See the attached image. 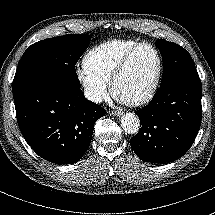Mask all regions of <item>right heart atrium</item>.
Returning a JSON list of instances; mask_svg holds the SVG:
<instances>
[{"label": "right heart atrium", "instance_id": "obj_1", "mask_svg": "<svg viewBox=\"0 0 215 215\" xmlns=\"http://www.w3.org/2000/svg\"><path fill=\"white\" fill-rule=\"evenodd\" d=\"M76 78L86 99L92 103H101L108 94L106 83L90 76L84 69L76 71Z\"/></svg>", "mask_w": 215, "mask_h": 215}]
</instances>
